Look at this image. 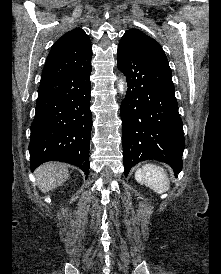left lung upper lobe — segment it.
I'll return each instance as SVG.
<instances>
[{"label": "left lung upper lobe", "mask_w": 221, "mask_h": 274, "mask_svg": "<svg viewBox=\"0 0 221 274\" xmlns=\"http://www.w3.org/2000/svg\"><path fill=\"white\" fill-rule=\"evenodd\" d=\"M118 47L171 71L167 57L158 42L137 29L126 31Z\"/></svg>", "instance_id": "left-lung-upper-lobe-1"}]
</instances>
